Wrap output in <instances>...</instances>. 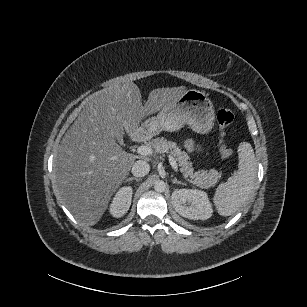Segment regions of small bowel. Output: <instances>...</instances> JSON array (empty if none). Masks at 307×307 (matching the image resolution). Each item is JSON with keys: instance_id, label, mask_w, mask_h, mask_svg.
I'll return each instance as SVG.
<instances>
[{"instance_id": "small-bowel-1", "label": "small bowel", "mask_w": 307, "mask_h": 307, "mask_svg": "<svg viewBox=\"0 0 307 307\" xmlns=\"http://www.w3.org/2000/svg\"><path fill=\"white\" fill-rule=\"evenodd\" d=\"M185 147H186L187 151H189V152L193 151V149H194L193 142L191 140H187L185 142Z\"/></svg>"}]
</instances>
